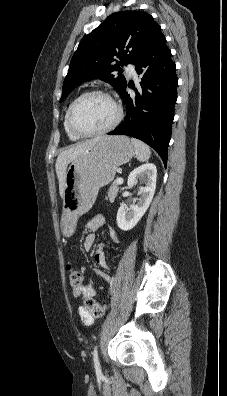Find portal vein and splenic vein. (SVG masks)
<instances>
[{"label":"portal vein and splenic vein","mask_w":227,"mask_h":396,"mask_svg":"<svg viewBox=\"0 0 227 396\" xmlns=\"http://www.w3.org/2000/svg\"><path fill=\"white\" fill-rule=\"evenodd\" d=\"M116 182H117V184L121 185V184L123 183V179H122V178H118V179L116 180Z\"/></svg>","instance_id":"18ae733b"}]
</instances>
